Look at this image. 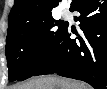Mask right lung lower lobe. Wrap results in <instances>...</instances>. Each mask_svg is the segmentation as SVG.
Returning a JSON list of instances; mask_svg holds the SVG:
<instances>
[{"label":"right lung lower lobe","mask_w":107,"mask_h":89,"mask_svg":"<svg viewBox=\"0 0 107 89\" xmlns=\"http://www.w3.org/2000/svg\"><path fill=\"white\" fill-rule=\"evenodd\" d=\"M70 11L81 15L83 36L70 39L67 26L56 48L33 76L56 73L82 80L95 89L107 87V0H75Z\"/></svg>","instance_id":"1"}]
</instances>
